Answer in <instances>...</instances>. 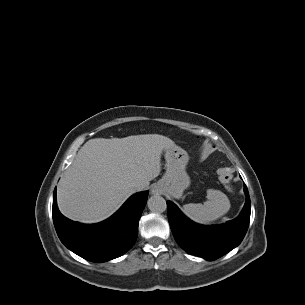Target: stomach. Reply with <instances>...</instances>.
Segmentation results:
<instances>
[{
	"label": "stomach",
	"instance_id": "stomach-1",
	"mask_svg": "<svg viewBox=\"0 0 305 305\" xmlns=\"http://www.w3.org/2000/svg\"><path fill=\"white\" fill-rule=\"evenodd\" d=\"M166 172L157 183V189L173 198L179 199L190 185V178L186 173L189 157L187 152L178 147L165 149Z\"/></svg>",
	"mask_w": 305,
	"mask_h": 305
}]
</instances>
